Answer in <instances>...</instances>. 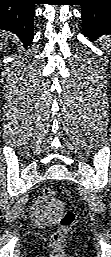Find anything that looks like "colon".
Returning <instances> with one entry per match:
<instances>
[{"label":"colon","instance_id":"1","mask_svg":"<svg viewBox=\"0 0 111 257\" xmlns=\"http://www.w3.org/2000/svg\"><path fill=\"white\" fill-rule=\"evenodd\" d=\"M42 198L52 206L51 209L57 211L59 228L52 234L51 238L54 243H60L73 226L75 213L71 209L64 208L56 202L55 192L52 189L45 188L42 191Z\"/></svg>","mask_w":111,"mask_h":257}]
</instances>
